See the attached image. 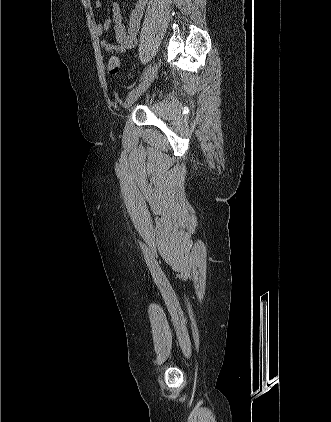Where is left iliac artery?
Here are the masks:
<instances>
[{
    "mask_svg": "<svg viewBox=\"0 0 331 422\" xmlns=\"http://www.w3.org/2000/svg\"><path fill=\"white\" fill-rule=\"evenodd\" d=\"M151 69V64L150 65H148L146 68H145V70H144V72H143V74H142V76L140 77V80L139 81H141L142 80V78L145 76V74L149 71Z\"/></svg>",
    "mask_w": 331,
    "mask_h": 422,
    "instance_id": "left-iliac-artery-1",
    "label": "left iliac artery"
}]
</instances>
